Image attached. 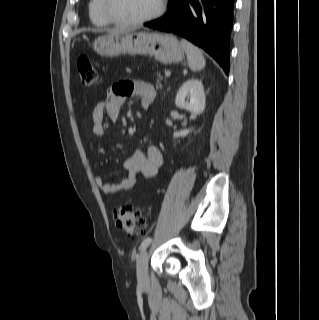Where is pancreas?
Listing matches in <instances>:
<instances>
[{
    "label": "pancreas",
    "instance_id": "1",
    "mask_svg": "<svg viewBox=\"0 0 319 320\" xmlns=\"http://www.w3.org/2000/svg\"><path fill=\"white\" fill-rule=\"evenodd\" d=\"M157 75H158V82L162 81L163 76H162L161 72H157Z\"/></svg>",
    "mask_w": 319,
    "mask_h": 320
}]
</instances>
